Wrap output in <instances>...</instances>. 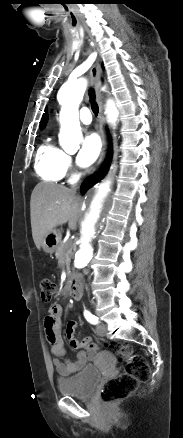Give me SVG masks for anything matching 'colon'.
I'll list each match as a JSON object with an SVG mask.
<instances>
[{"mask_svg":"<svg viewBox=\"0 0 183 438\" xmlns=\"http://www.w3.org/2000/svg\"><path fill=\"white\" fill-rule=\"evenodd\" d=\"M40 287L42 301L49 302L55 293V283L46 278L41 281ZM105 345L114 349L119 359L126 362L124 372L114 378L107 379L101 388L102 402L111 404L132 394L140 383L149 378L150 368L145 358L133 354L129 344L108 341Z\"/></svg>","mask_w":183,"mask_h":438,"instance_id":"5ec220e1","label":"colon"}]
</instances>
